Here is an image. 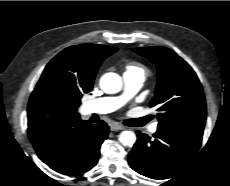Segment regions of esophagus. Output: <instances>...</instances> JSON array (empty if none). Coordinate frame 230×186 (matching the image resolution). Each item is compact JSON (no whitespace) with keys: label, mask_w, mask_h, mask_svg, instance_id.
Returning a JSON list of instances; mask_svg holds the SVG:
<instances>
[{"label":"esophagus","mask_w":230,"mask_h":186,"mask_svg":"<svg viewBox=\"0 0 230 186\" xmlns=\"http://www.w3.org/2000/svg\"><path fill=\"white\" fill-rule=\"evenodd\" d=\"M110 129H111V131H120V130L125 129V127L122 125L113 124L110 126Z\"/></svg>","instance_id":"1"}]
</instances>
